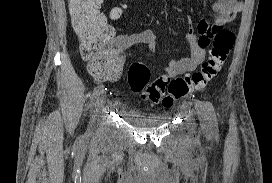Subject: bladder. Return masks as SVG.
Returning a JSON list of instances; mask_svg holds the SVG:
<instances>
[{
    "label": "bladder",
    "instance_id": "1",
    "mask_svg": "<svg viewBox=\"0 0 272 183\" xmlns=\"http://www.w3.org/2000/svg\"><path fill=\"white\" fill-rule=\"evenodd\" d=\"M123 116L130 124L141 129L157 128L163 126L168 121V117L165 115L142 116L132 112H125Z\"/></svg>",
    "mask_w": 272,
    "mask_h": 183
}]
</instances>
